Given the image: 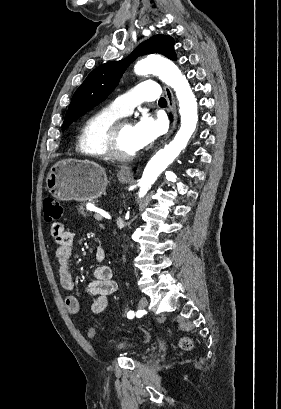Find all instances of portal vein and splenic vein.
<instances>
[{
    "label": "portal vein and splenic vein",
    "instance_id": "portal-vein-and-splenic-vein-1",
    "mask_svg": "<svg viewBox=\"0 0 281 409\" xmlns=\"http://www.w3.org/2000/svg\"><path fill=\"white\" fill-rule=\"evenodd\" d=\"M95 202V201H94ZM97 214V213H96ZM96 217H95V219H97V221H101V220H103L104 219V216L103 215H95Z\"/></svg>",
    "mask_w": 281,
    "mask_h": 409
}]
</instances>
